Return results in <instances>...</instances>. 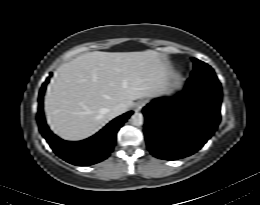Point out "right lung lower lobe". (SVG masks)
Returning a JSON list of instances; mask_svg holds the SVG:
<instances>
[{
	"instance_id": "right-lung-lower-lobe-1",
	"label": "right lung lower lobe",
	"mask_w": 260,
	"mask_h": 205,
	"mask_svg": "<svg viewBox=\"0 0 260 205\" xmlns=\"http://www.w3.org/2000/svg\"><path fill=\"white\" fill-rule=\"evenodd\" d=\"M49 78L39 92L38 122L39 130L52 150L63 160L77 166H89L106 159L113 150L116 133L133 111L127 112L100 130L94 136L77 142L64 141L54 135L46 125L43 114V96Z\"/></svg>"
}]
</instances>
